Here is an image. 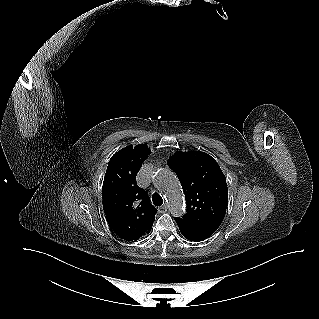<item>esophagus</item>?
Masks as SVG:
<instances>
[{"mask_svg": "<svg viewBox=\"0 0 319 319\" xmlns=\"http://www.w3.org/2000/svg\"><path fill=\"white\" fill-rule=\"evenodd\" d=\"M168 207L166 204L162 205L161 207L158 208V211L160 213H165L167 211Z\"/></svg>", "mask_w": 319, "mask_h": 319, "instance_id": "esophagus-1", "label": "esophagus"}]
</instances>
